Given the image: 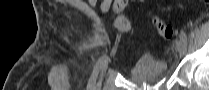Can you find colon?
I'll return each instance as SVG.
<instances>
[{
	"mask_svg": "<svg viewBox=\"0 0 209 90\" xmlns=\"http://www.w3.org/2000/svg\"><path fill=\"white\" fill-rule=\"evenodd\" d=\"M126 3H127V0H116L114 2L113 11L115 13L121 12L123 10V8L125 7ZM203 4L205 6L209 5V0L203 1ZM150 16H151V19H152V22H153L155 28L157 29V31L160 33V35L163 38L169 40L176 35V31L170 25L166 24L158 16H156L152 13H150ZM115 24L121 31L128 32L130 30V23L123 16H118L115 19Z\"/></svg>",
	"mask_w": 209,
	"mask_h": 90,
	"instance_id": "obj_1",
	"label": "colon"
}]
</instances>
